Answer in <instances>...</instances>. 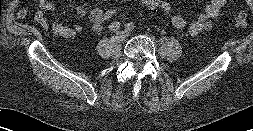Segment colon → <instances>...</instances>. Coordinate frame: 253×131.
<instances>
[{"instance_id":"5ec220e1","label":"colon","mask_w":253,"mask_h":131,"mask_svg":"<svg viewBox=\"0 0 253 131\" xmlns=\"http://www.w3.org/2000/svg\"><path fill=\"white\" fill-rule=\"evenodd\" d=\"M140 2L149 9L167 8L169 3L166 0H140ZM119 12L114 7L103 9L104 22H111L115 20ZM247 12L245 10H237L233 14L232 25L235 28H244L247 25Z\"/></svg>"}]
</instances>
